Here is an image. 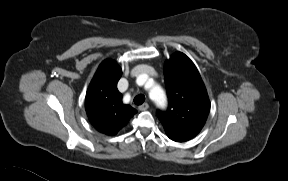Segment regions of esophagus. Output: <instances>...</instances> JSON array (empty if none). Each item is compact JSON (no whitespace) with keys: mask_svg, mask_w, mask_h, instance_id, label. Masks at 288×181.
<instances>
[{"mask_svg":"<svg viewBox=\"0 0 288 181\" xmlns=\"http://www.w3.org/2000/svg\"><path fill=\"white\" fill-rule=\"evenodd\" d=\"M148 108H149L148 103H143L142 105H140V106L138 107V109H139L140 111H145V110H147Z\"/></svg>","mask_w":288,"mask_h":181,"instance_id":"esophagus-1","label":"esophagus"}]
</instances>
